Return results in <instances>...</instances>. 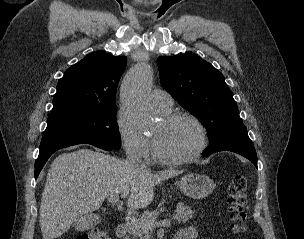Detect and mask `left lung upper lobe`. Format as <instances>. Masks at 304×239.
<instances>
[{
  "mask_svg": "<svg viewBox=\"0 0 304 239\" xmlns=\"http://www.w3.org/2000/svg\"><path fill=\"white\" fill-rule=\"evenodd\" d=\"M162 86L207 128L210 147L216 151L254 147L224 76L194 54L159 57Z\"/></svg>",
  "mask_w": 304,
  "mask_h": 239,
  "instance_id": "obj_1",
  "label": "left lung upper lobe"
}]
</instances>
